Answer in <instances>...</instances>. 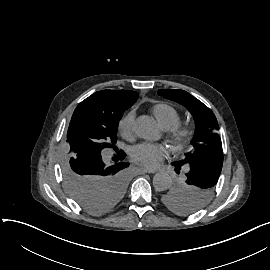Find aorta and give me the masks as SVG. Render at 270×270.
I'll list each match as a JSON object with an SVG mask.
<instances>
[{
	"instance_id": "762f6f07",
	"label": "aorta",
	"mask_w": 270,
	"mask_h": 270,
	"mask_svg": "<svg viewBox=\"0 0 270 270\" xmlns=\"http://www.w3.org/2000/svg\"><path fill=\"white\" fill-rule=\"evenodd\" d=\"M172 184V178L167 173H157L153 178V186L156 190H167Z\"/></svg>"
}]
</instances>
